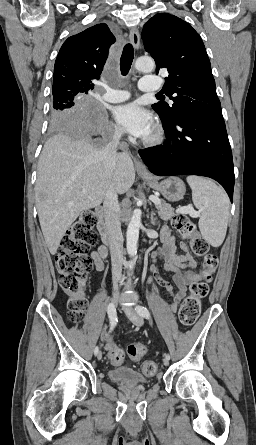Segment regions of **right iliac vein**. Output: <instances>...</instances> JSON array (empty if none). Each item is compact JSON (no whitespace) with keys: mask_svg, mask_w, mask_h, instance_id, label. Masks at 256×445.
<instances>
[{"mask_svg":"<svg viewBox=\"0 0 256 445\" xmlns=\"http://www.w3.org/2000/svg\"><path fill=\"white\" fill-rule=\"evenodd\" d=\"M119 295L116 293V294H114L113 295V297H112V300H111V305H112V307H114L115 308V306H116V304L119 302ZM97 358H98V360H101L102 359V353L101 352H99L98 354H97Z\"/></svg>","mask_w":256,"mask_h":445,"instance_id":"obj_1","label":"right iliac vein"}]
</instances>
